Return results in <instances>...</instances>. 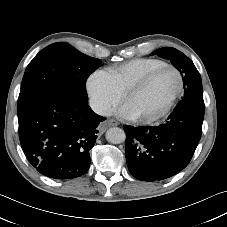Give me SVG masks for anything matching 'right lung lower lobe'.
<instances>
[{
  "label": "right lung lower lobe",
  "instance_id": "obj_1",
  "mask_svg": "<svg viewBox=\"0 0 227 227\" xmlns=\"http://www.w3.org/2000/svg\"><path fill=\"white\" fill-rule=\"evenodd\" d=\"M105 117L88 103L63 96H46L18 110L20 143L28 161L55 179L83 175L90 166L96 127Z\"/></svg>",
  "mask_w": 227,
  "mask_h": 227
}]
</instances>
